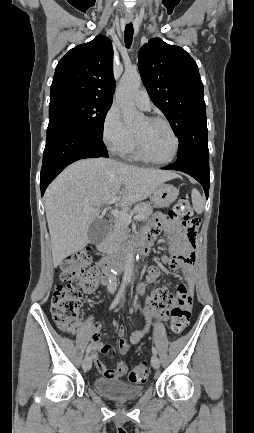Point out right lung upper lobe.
<instances>
[{"label":"right lung upper lobe","instance_id":"1","mask_svg":"<svg viewBox=\"0 0 254 433\" xmlns=\"http://www.w3.org/2000/svg\"><path fill=\"white\" fill-rule=\"evenodd\" d=\"M115 90L111 41L101 35L71 49L58 63L50 104L89 99L112 104Z\"/></svg>","mask_w":254,"mask_h":433}]
</instances>
